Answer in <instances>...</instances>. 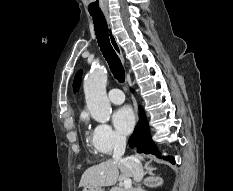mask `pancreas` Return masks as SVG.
I'll return each instance as SVG.
<instances>
[{"instance_id": "1", "label": "pancreas", "mask_w": 233, "mask_h": 191, "mask_svg": "<svg viewBox=\"0 0 233 191\" xmlns=\"http://www.w3.org/2000/svg\"><path fill=\"white\" fill-rule=\"evenodd\" d=\"M110 191H134L133 189H123L122 187H113Z\"/></svg>"}]
</instances>
